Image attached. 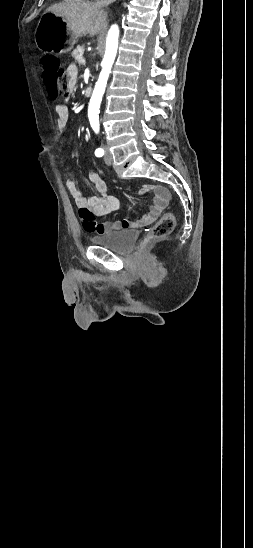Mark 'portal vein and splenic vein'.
<instances>
[{"label":"portal vein and splenic vein","mask_w":253,"mask_h":548,"mask_svg":"<svg viewBox=\"0 0 253 548\" xmlns=\"http://www.w3.org/2000/svg\"><path fill=\"white\" fill-rule=\"evenodd\" d=\"M80 62H81L82 64H85L86 61H85V59H81Z\"/></svg>","instance_id":"portal-vein-and-splenic-vein-1"}]
</instances>
